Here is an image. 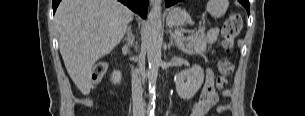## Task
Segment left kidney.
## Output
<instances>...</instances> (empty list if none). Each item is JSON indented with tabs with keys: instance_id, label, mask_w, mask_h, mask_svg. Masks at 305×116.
Returning <instances> with one entry per match:
<instances>
[{
	"instance_id": "obj_1",
	"label": "left kidney",
	"mask_w": 305,
	"mask_h": 116,
	"mask_svg": "<svg viewBox=\"0 0 305 116\" xmlns=\"http://www.w3.org/2000/svg\"><path fill=\"white\" fill-rule=\"evenodd\" d=\"M204 81V71L199 65L181 71L175 78L176 91L180 98L191 99L201 88Z\"/></svg>"
}]
</instances>
